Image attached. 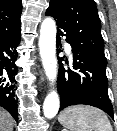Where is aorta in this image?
<instances>
[{
    "label": "aorta",
    "instance_id": "1",
    "mask_svg": "<svg viewBox=\"0 0 117 131\" xmlns=\"http://www.w3.org/2000/svg\"><path fill=\"white\" fill-rule=\"evenodd\" d=\"M39 49L45 74L51 84H54L57 79L58 68L56 60V24L51 17H46L41 23ZM59 107V95L55 90H51L43 103L44 116L48 119L55 117Z\"/></svg>",
    "mask_w": 117,
    "mask_h": 131
}]
</instances>
